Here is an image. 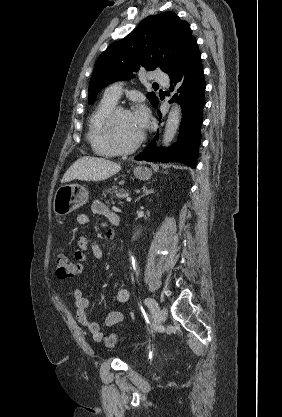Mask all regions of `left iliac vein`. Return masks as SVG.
<instances>
[{"label": "left iliac vein", "instance_id": "left-iliac-vein-1", "mask_svg": "<svg viewBox=\"0 0 282 417\" xmlns=\"http://www.w3.org/2000/svg\"><path fill=\"white\" fill-rule=\"evenodd\" d=\"M167 317V309L165 307H161L158 311V315H157V322L163 323L166 320Z\"/></svg>", "mask_w": 282, "mask_h": 417}]
</instances>
